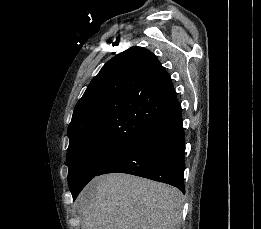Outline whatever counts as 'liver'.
<instances>
[{
	"mask_svg": "<svg viewBox=\"0 0 261 229\" xmlns=\"http://www.w3.org/2000/svg\"><path fill=\"white\" fill-rule=\"evenodd\" d=\"M82 229H179L183 195L133 175L95 177L78 199Z\"/></svg>",
	"mask_w": 261,
	"mask_h": 229,
	"instance_id": "obj_1",
	"label": "liver"
}]
</instances>
